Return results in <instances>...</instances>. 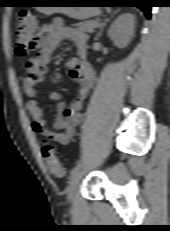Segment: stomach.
Segmentation results:
<instances>
[{
    "label": "stomach",
    "instance_id": "0dacf381",
    "mask_svg": "<svg viewBox=\"0 0 170 231\" xmlns=\"http://www.w3.org/2000/svg\"><path fill=\"white\" fill-rule=\"evenodd\" d=\"M41 4H74L75 1L69 0H44ZM79 5H70L66 7H36L38 11L51 15L53 13H63L76 19H87L94 15V11L87 7H78Z\"/></svg>",
    "mask_w": 170,
    "mask_h": 231
}]
</instances>
